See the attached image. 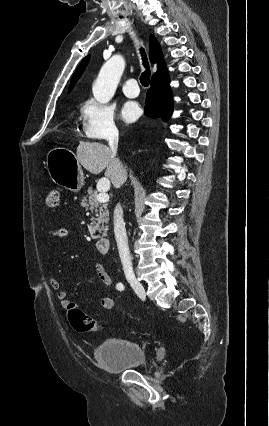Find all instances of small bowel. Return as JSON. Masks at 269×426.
I'll return each instance as SVG.
<instances>
[{"label": "small bowel", "instance_id": "c3829d8e", "mask_svg": "<svg viewBox=\"0 0 269 426\" xmlns=\"http://www.w3.org/2000/svg\"><path fill=\"white\" fill-rule=\"evenodd\" d=\"M67 235H68L67 228L64 226H58L48 231V233L46 234V239L47 240L62 239V238H65ZM95 271L99 280L104 285V287L108 290H111L113 287V280L111 276L108 274V272L105 270L104 266L102 264H96ZM49 284L52 287V289L55 291L56 298L58 302L60 303V305L62 306V308L70 309L71 307L76 306V304L68 298L66 292L61 289L60 283L56 278L50 277ZM98 303L104 309H111L114 306V300L110 297H102L98 300Z\"/></svg>", "mask_w": 269, "mask_h": 426}]
</instances>
